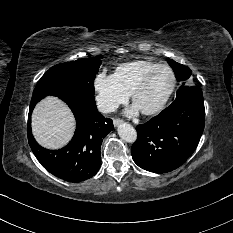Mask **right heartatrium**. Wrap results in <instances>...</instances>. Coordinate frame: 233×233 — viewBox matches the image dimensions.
<instances>
[{
	"label": "right heart atrium",
	"mask_w": 233,
	"mask_h": 233,
	"mask_svg": "<svg viewBox=\"0 0 233 233\" xmlns=\"http://www.w3.org/2000/svg\"><path fill=\"white\" fill-rule=\"evenodd\" d=\"M93 89L97 106L103 112L115 111L129 98V94L119 85L114 75L105 72L95 75Z\"/></svg>",
	"instance_id": "d8ad5b80"
}]
</instances>
